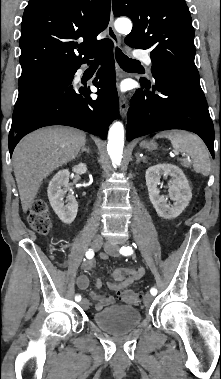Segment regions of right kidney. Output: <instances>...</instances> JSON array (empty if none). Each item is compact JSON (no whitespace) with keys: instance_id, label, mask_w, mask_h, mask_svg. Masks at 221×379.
<instances>
[{"instance_id":"1","label":"right kidney","mask_w":221,"mask_h":379,"mask_svg":"<svg viewBox=\"0 0 221 379\" xmlns=\"http://www.w3.org/2000/svg\"><path fill=\"white\" fill-rule=\"evenodd\" d=\"M76 174L87 172V165L80 163L72 168ZM69 170L63 169L55 174L48 185V198L51 207L64 224H71L76 218L78 203L72 193H68L69 187ZM66 200L64 202V198ZM66 203V204H65Z\"/></svg>"}]
</instances>
